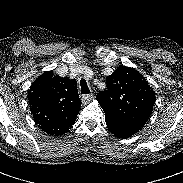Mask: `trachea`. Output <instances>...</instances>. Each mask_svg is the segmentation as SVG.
<instances>
[{
	"instance_id": "obj_1",
	"label": "trachea",
	"mask_w": 183,
	"mask_h": 183,
	"mask_svg": "<svg viewBox=\"0 0 183 183\" xmlns=\"http://www.w3.org/2000/svg\"><path fill=\"white\" fill-rule=\"evenodd\" d=\"M80 86H81L82 94H89L90 93L87 82L84 79L80 80Z\"/></svg>"
}]
</instances>
